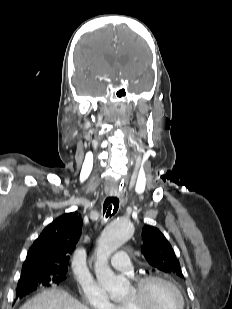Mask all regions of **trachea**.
<instances>
[{"label":"trachea","instance_id":"1","mask_svg":"<svg viewBox=\"0 0 232 309\" xmlns=\"http://www.w3.org/2000/svg\"><path fill=\"white\" fill-rule=\"evenodd\" d=\"M119 208V199L111 195L108 198H106L104 205H103V216L105 215V218L113 216Z\"/></svg>","mask_w":232,"mask_h":309}]
</instances>
